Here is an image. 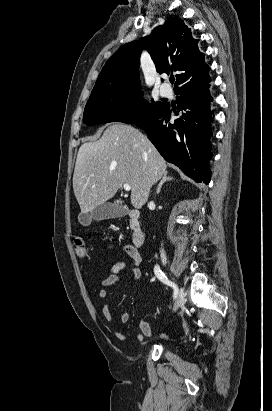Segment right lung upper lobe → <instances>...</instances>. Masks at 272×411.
<instances>
[{"instance_id": "obj_1", "label": "right lung upper lobe", "mask_w": 272, "mask_h": 411, "mask_svg": "<svg viewBox=\"0 0 272 411\" xmlns=\"http://www.w3.org/2000/svg\"><path fill=\"white\" fill-rule=\"evenodd\" d=\"M192 38L191 30L178 17L169 18L164 25L137 41L122 46L104 65L93 90L113 85H139V61L146 49L159 73L177 71L175 90L200 81L209 71L204 55Z\"/></svg>"}]
</instances>
